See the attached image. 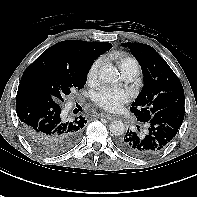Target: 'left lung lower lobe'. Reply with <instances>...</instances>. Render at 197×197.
<instances>
[{"label": "left lung lower lobe", "mask_w": 197, "mask_h": 197, "mask_svg": "<svg viewBox=\"0 0 197 197\" xmlns=\"http://www.w3.org/2000/svg\"><path fill=\"white\" fill-rule=\"evenodd\" d=\"M184 106L168 107L157 111L145 124L148 129L144 135L127 131L118 141V146L125 153L148 158L169 145L177 134L184 119Z\"/></svg>", "instance_id": "1"}]
</instances>
